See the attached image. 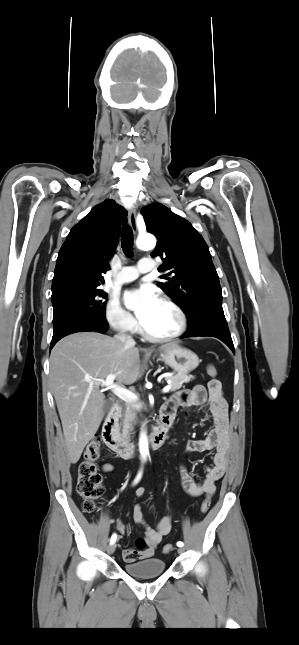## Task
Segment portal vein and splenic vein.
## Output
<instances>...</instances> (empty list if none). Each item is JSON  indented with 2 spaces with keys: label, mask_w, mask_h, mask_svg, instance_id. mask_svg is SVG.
Returning <instances> with one entry per match:
<instances>
[{
  "label": "portal vein and splenic vein",
  "mask_w": 299,
  "mask_h": 645,
  "mask_svg": "<svg viewBox=\"0 0 299 645\" xmlns=\"http://www.w3.org/2000/svg\"><path fill=\"white\" fill-rule=\"evenodd\" d=\"M115 380V375L110 374L107 376V378L104 379H96L97 384L106 387L107 389H110L117 397L122 399L123 401L126 402H132L138 400V397L135 393L130 392L114 383ZM91 384H93V381L89 380ZM171 386L167 385L162 389L163 393L169 392Z\"/></svg>",
  "instance_id": "portal-vein-and-splenic-vein-1"
}]
</instances>
